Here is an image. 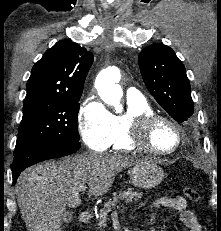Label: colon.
<instances>
[{"instance_id": "5ec220e1", "label": "colon", "mask_w": 221, "mask_h": 231, "mask_svg": "<svg viewBox=\"0 0 221 231\" xmlns=\"http://www.w3.org/2000/svg\"><path fill=\"white\" fill-rule=\"evenodd\" d=\"M184 194L189 200L193 202H197L200 199L199 193L194 188L189 186L184 188Z\"/></svg>"}]
</instances>
